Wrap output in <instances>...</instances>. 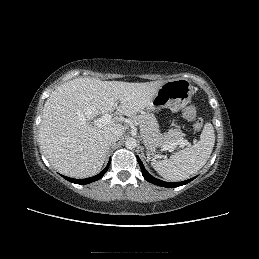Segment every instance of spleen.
Listing matches in <instances>:
<instances>
[{
	"instance_id": "3e777b00",
	"label": "spleen",
	"mask_w": 259,
	"mask_h": 259,
	"mask_svg": "<svg viewBox=\"0 0 259 259\" xmlns=\"http://www.w3.org/2000/svg\"><path fill=\"white\" fill-rule=\"evenodd\" d=\"M215 143L214 128L206 123L200 140L172 155L169 159L154 160L153 168L168 181H182L197 173L208 161Z\"/></svg>"
}]
</instances>
